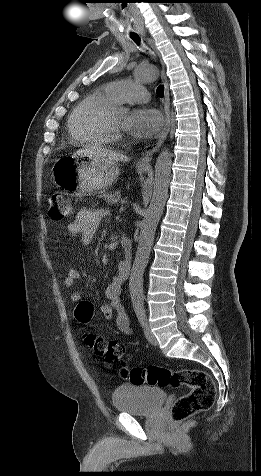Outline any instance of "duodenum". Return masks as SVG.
Segmentation results:
<instances>
[{
    "label": "duodenum",
    "mask_w": 261,
    "mask_h": 476,
    "mask_svg": "<svg viewBox=\"0 0 261 476\" xmlns=\"http://www.w3.org/2000/svg\"><path fill=\"white\" fill-rule=\"evenodd\" d=\"M120 244L124 255V260L121 262L122 268L125 272L129 273L132 261V243L128 237L122 236Z\"/></svg>",
    "instance_id": "obj_1"
}]
</instances>
